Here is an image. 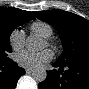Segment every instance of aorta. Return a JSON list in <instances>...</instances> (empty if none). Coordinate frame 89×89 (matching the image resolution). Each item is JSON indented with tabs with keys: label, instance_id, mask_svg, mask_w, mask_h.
<instances>
[{
	"label": "aorta",
	"instance_id": "aorta-1",
	"mask_svg": "<svg viewBox=\"0 0 89 89\" xmlns=\"http://www.w3.org/2000/svg\"><path fill=\"white\" fill-rule=\"evenodd\" d=\"M25 45L29 51H38L43 47L41 39L35 35L28 36ZM32 77L37 82H43L47 77V72L43 67H38L33 71Z\"/></svg>",
	"mask_w": 89,
	"mask_h": 89
}]
</instances>
